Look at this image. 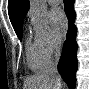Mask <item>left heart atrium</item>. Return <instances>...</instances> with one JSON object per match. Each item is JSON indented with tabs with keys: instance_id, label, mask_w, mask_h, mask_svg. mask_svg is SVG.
Here are the masks:
<instances>
[{
	"instance_id": "obj_1",
	"label": "left heart atrium",
	"mask_w": 89,
	"mask_h": 89,
	"mask_svg": "<svg viewBox=\"0 0 89 89\" xmlns=\"http://www.w3.org/2000/svg\"><path fill=\"white\" fill-rule=\"evenodd\" d=\"M50 19L56 37L61 39L65 34L68 26L64 12L60 8H54L51 11Z\"/></svg>"
}]
</instances>
